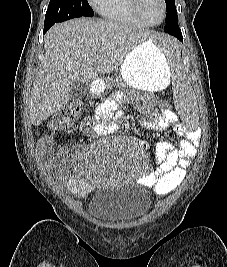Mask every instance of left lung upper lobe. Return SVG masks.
<instances>
[{
	"instance_id": "5c2ea615",
	"label": "left lung upper lobe",
	"mask_w": 227,
	"mask_h": 267,
	"mask_svg": "<svg viewBox=\"0 0 227 267\" xmlns=\"http://www.w3.org/2000/svg\"><path fill=\"white\" fill-rule=\"evenodd\" d=\"M167 6L166 23L177 18V11L174 0H165Z\"/></svg>"
}]
</instances>
